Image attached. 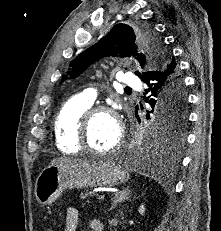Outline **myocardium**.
<instances>
[{"mask_svg": "<svg viewBox=\"0 0 221 231\" xmlns=\"http://www.w3.org/2000/svg\"><path fill=\"white\" fill-rule=\"evenodd\" d=\"M100 113H106V114L111 115L114 118L117 124V127H118L117 141L110 148L105 149V150L93 149L89 144L90 124L93 118ZM124 138H125V126L118 112L116 111V109L108 105H96V106L90 107L82 115L78 123V138H77L78 143L83 150H85L86 152L92 155L105 156V155L114 153L122 146L124 142Z\"/></svg>", "mask_w": 221, "mask_h": 231, "instance_id": "f54148a6", "label": "myocardium"}]
</instances>
